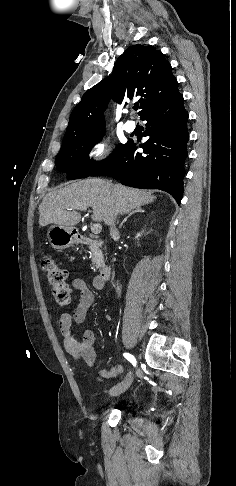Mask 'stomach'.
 <instances>
[{
    "label": "stomach",
    "instance_id": "0dacf381",
    "mask_svg": "<svg viewBox=\"0 0 236 486\" xmlns=\"http://www.w3.org/2000/svg\"><path fill=\"white\" fill-rule=\"evenodd\" d=\"M47 236L55 249H66L78 242L76 230L71 226L52 225L48 229Z\"/></svg>",
    "mask_w": 236,
    "mask_h": 486
}]
</instances>
